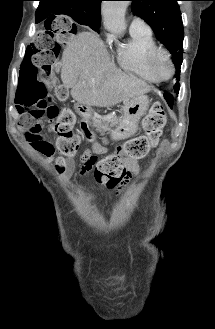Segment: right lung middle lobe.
I'll return each instance as SVG.
<instances>
[{
	"mask_svg": "<svg viewBox=\"0 0 215 329\" xmlns=\"http://www.w3.org/2000/svg\"><path fill=\"white\" fill-rule=\"evenodd\" d=\"M65 15L72 17L77 23L81 25H87L94 31L99 32L100 22H88L80 14L77 13L67 12Z\"/></svg>",
	"mask_w": 215,
	"mask_h": 329,
	"instance_id": "1",
	"label": "right lung middle lobe"
}]
</instances>
